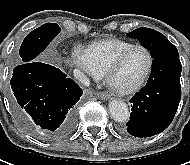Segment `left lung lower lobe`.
<instances>
[{"mask_svg":"<svg viewBox=\"0 0 190 165\" xmlns=\"http://www.w3.org/2000/svg\"><path fill=\"white\" fill-rule=\"evenodd\" d=\"M181 62L176 48L153 58L147 84L132 97V113L127 132L150 137L164 131L172 122L181 98Z\"/></svg>","mask_w":190,"mask_h":165,"instance_id":"left-lung-lower-lobe-1","label":"left lung lower lobe"}]
</instances>
